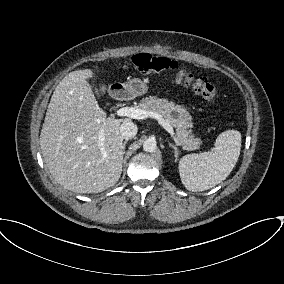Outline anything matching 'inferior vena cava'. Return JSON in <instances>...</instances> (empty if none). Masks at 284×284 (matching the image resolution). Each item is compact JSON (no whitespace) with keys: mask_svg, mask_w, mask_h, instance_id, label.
<instances>
[{"mask_svg":"<svg viewBox=\"0 0 284 284\" xmlns=\"http://www.w3.org/2000/svg\"><path fill=\"white\" fill-rule=\"evenodd\" d=\"M137 126L131 121H125L120 125V135L122 139H132L137 134Z\"/></svg>","mask_w":284,"mask_h":284,"instance_id":"obj_1","label":"inferior vena cava"}]
</instances>
